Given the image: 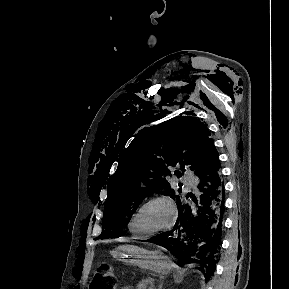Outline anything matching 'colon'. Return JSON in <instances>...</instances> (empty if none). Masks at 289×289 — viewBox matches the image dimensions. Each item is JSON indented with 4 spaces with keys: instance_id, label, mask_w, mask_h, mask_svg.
<instances>
[{
    "instance_id": "1",
    "label": "colon",
    "mask_w": 289,
    "mask_h": 289,
    "mask_svg": "<svg viewBox=\"0 0 289 289\" xmlns=\"http://www.w3.org/2000/svg\"><path fill=\"white\" fill-rule=\"evenodd\" d=\"M114 283V275L107 268L100 267L95 273L90 289H112Z\"/></svg>"
}]
</instances>
